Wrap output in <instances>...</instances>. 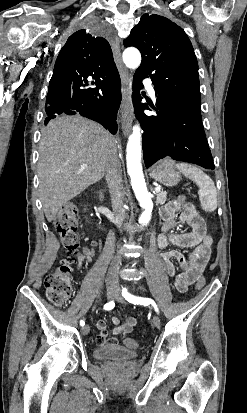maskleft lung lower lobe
Listing matches in <instances>:
<instances>
[{"label":"left lung lower lobe","mask_w":247,"mask_h":413,"mask_svg":"<svg viewBox=\"0 0 247 413\" xmlns=\"http://www.w3.org/2000/svg\"><path fill=\"white\" fill-rule=\"evenodd\" d=\"M143 78L145 77L138 73L134 75L133 102L135 113L144 131L142 147L146 167H150L161 158L171 157L214 170L200 106L173 95L157 94L156 108L150 103L148 105L157 110L158 116L149 117L143 110L150 108L146 103H141L139 95V90L143 88Z\"/></svg>","instance_id":"0a47b994"}]
</instances>
